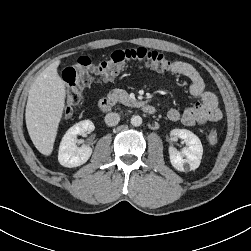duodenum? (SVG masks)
<instances>
[{"label":"duodenum","instance_id":"obj_1","mask_svg":"<svg viewBox=\"0 0 251 251\" xmlns=\"http://www.w3.org/2000/svg\"><path fill=\"white\" fill-rule=\"evenodd\" d=\"M137 107L140 108L146 114H154L156 112V108L144 101H138L136 103ZM114 103L110 98L103 97L99 101V108L103 112H109L113 109Z\"/></svg>","mask_w":251,"mask_h":251}]
</instances>
